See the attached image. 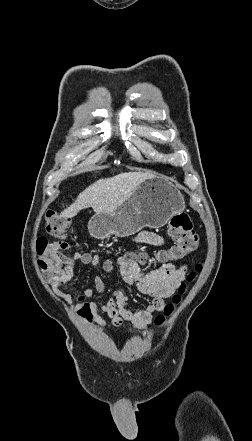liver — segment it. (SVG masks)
Listing matches in <instances>:
<instances>
[{"label": "liver", "mask_w": 252, "mask_h": 441, "mask_svg": "<svg viewBox=\"0 0 252 441\" xmlns=\"http://www.w3.org/2000/svg\"><path fill=\"white\" fill-rule=\"evenodd\" d=\"M153 177V174L146 172H125L99 179L82 191L76 200L61 212V216L72 218L80 210L89 207L96 213L113 212L143 181Z\"/></svg>", "instance_id": "obj_1"}]
</instances>
